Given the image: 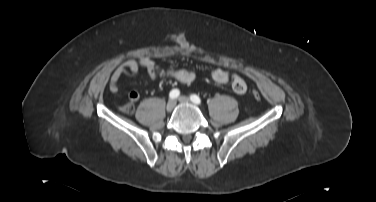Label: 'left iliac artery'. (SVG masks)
I'll return each instance as SVG.
<instances>
[{"label": "left iliac artery", "instance_id": "left-iliac-artery-1", "mask_svg": "<svg viewBox=\"0 0 376 202\" xmlns=\"http://www.w3.org/2000/svg\"><path fill=\"white\" fill-rule=\"evenodd\" d=\"M190 99H191V101H192L193 103H195V104H200V103H201V99H200V97L197 96V95H195V94L191 95V96H190Z\"/></svg>", "mask_w": 376, "mask_h": 202}]
</instances>
